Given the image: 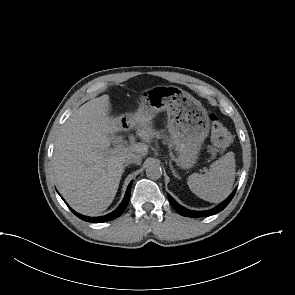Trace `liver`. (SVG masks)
Here are the masks:
<instances>
[{
    "label": "liver",
    "mask_w": 295,
    "mask_h": 295,
    "mask_svg": "<svg viewBox=\"0 0 295 295\" xmlns=\"http://www.w3.org/2000/svg\"><path fill=\"white\" fill-rule=\"evenodd\" d=\"M108 95L91 99L75 110L63 124L52 157L54 178L67 203L84 215H96L112 203L124 172V157L131 153H109L111 136L121 130V117L109 115ZM151 118L136 117L138 136L150 142L154 135ZM146 156L148 147L133 151Z\"/></svg>",
    "instance_id": "1"
}]
</instances>
